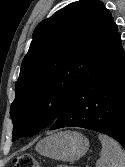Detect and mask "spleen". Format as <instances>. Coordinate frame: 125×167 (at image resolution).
<instances>
[{
    "mask_svg": "<svg viewBox=\"0 0 125 167\" xmlns=\"http://www.w3.org/2000/svg\"><path fill=\"white\" fill-rule=\"evenodd\" d=\"M102 144L100 158L96 167H125V152L121 146L106 135H99Z\"/></svg>",
    "mask_w": 125,
    "mask_h": 167,
    "instance_id": "spleen-1",
    "label": "spleen"
}]
</instances>
